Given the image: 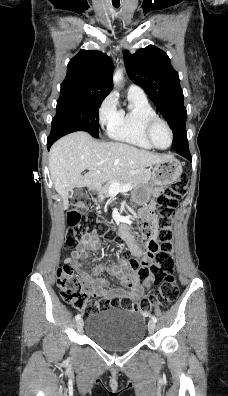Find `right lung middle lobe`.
Returning <instances> with one entry per match:
<instances>
[{"label": "right lung middle lobe", "mask_w": 228, "mask_h": 396, "mask_svg": "<svg viewBox=\"0 0 228 396\" xmlns=\"http://www.w3.org/2000/svg\"><path fill=\"white\" fill-rule=\"evenodd\" d=\"M106 96L103 93L78 88H61L56 116L52 119V125H62L66 128L56 132L87 131L97 138L99 133L98 111Z\"/></svg>", "instance_id": "obj_1"}]
</instances>
